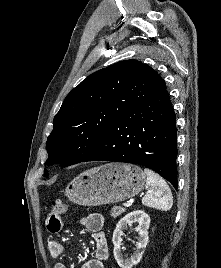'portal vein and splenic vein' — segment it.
I'll return each instance as SVG.
<instances>
[{"label": "portal vein and splenic vein", "instance_id": "obj_1", "mask_svg": "<svg viewBox=\"0 0 221 268\" xmlns=\"http://www.w3.org/2000/svg\"><path fill=\"white\" fill-rule=\"evenodd\" d=\"M123 205H124V207H130V206L132 205V202L129 201V202H127V203H124Z\"/></svg>", "mask_w": 221, "mask_h": 268}]
</instances>
